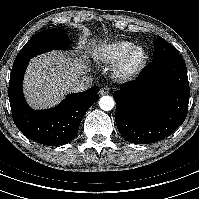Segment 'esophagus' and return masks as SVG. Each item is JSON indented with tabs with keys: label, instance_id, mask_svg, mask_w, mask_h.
Returning <instances> with one entry per match:
<instances>
[{
	"label": "esophagus",
	"instance_id": "esophagus-1",
	"mask_svg": "<svg viewBox=\"0 0 199 199\" xmlns=\"http://www.w3.org/2000/svg\"><path fill=\"white\" fill-rule=\"evenodd\" d=\"M110 92V88L108 86H104L100 89L99 93L101 95H105V94H108Z\"/></svg>",
	"mask_w": 199,
	"mask_h": 199
}]
</instances>
